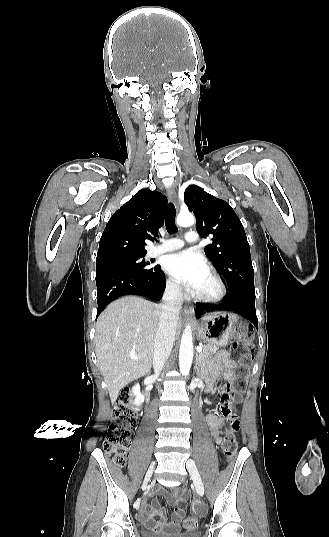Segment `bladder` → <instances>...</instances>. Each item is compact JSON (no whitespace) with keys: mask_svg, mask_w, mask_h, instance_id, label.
Here are the masks:
<instances>
[{"mask_svg":"<svg viewBox=\"0 0 329 537\" xmlns=\"http://www.w3.org/2000/svg\"><path fill=\"white\" fill-rule=\"evenodd\" d=\"M142 537H200V534L195 530L182 533H164L152 530H142Z\"/></svg>","mask_w":329,"mask_h":537,"instance_id":"31cf9c89","label":"bladder"}]
</instances>
